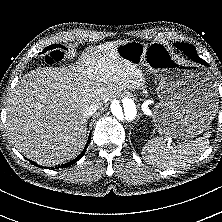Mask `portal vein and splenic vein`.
I'll return each instance as SVG.
<instances>
[{"instance_id":"obj_1","label":"portal vein and splenic vein","mask_w":222,"mask_h":222,"mask_svg":"<svg viewBox=\"0 0 222 222\" xmlns=\"http://www.w3.org/2000/svg\"><path fill=\"white\" fill-rule=\"evenodd\" d=\"M169 142H172V139L171 138H168Z\"/></svg>"}]
</instances>
